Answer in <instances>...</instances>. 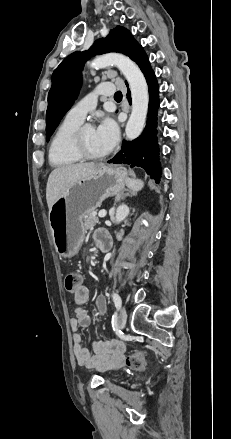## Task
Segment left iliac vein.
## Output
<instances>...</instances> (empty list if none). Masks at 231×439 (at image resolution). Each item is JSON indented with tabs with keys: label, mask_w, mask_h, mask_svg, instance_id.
<instances>
[{
	"label": "left iliac vein",
	"mask_w": 231,
	"mask_h": 439,
	"mask_svg": "<svg viewBox=\"0 0 231 439\" xmlns=\"http://www.w3.org/2000/svg\"><path fill=\"white\" fill-rule=\"evenodd\" d=\"M127 320V314L125 308H121L119 315H118V325L120 328H124Z\"/></svg>",
	"instance_id": "obj_1"
}]
</instances>
